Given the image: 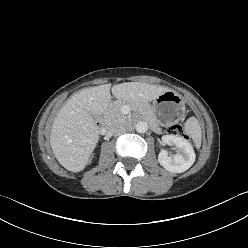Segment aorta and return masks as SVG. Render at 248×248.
I'll list each match as a JSON object with an SVG mask.
<instances>
[{"mask_svg":"<svg viewBox=\"0 0 248 248\" xmlns=\"http://www.w3.org/2000/svg\"><path fill=\"white\" fill-rule=\"evenodd\" d=\"M138 133H145L148 130V125L146 122H138L135 126Z\"/></svg>","mask_w":248,"mask_h":248,"instance_id":"aorta-1","label":"aorta"}]
</instances>
